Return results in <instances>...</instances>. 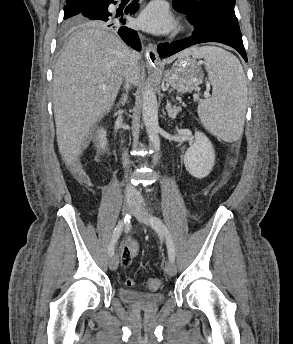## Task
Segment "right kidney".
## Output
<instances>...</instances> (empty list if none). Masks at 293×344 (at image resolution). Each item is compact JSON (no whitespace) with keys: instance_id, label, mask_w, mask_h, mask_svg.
I'll use <instances>...</instances> for the list:
<instances>
[{"instance_id":"1","label":"right kidney","mask_w":293,"mask_h":344,"mask_svg":"<svg viewBox=\"0 0 293 344\" xmlns=\"http://www.w3.org/2000/svg\"><path fill=\"white\" fill-rule=\"evenodd\" d=\"M97 142L95 144L98 150H105L107 146V132L104 128H100L97 132Z\"/></svg>"}]
</instances>
